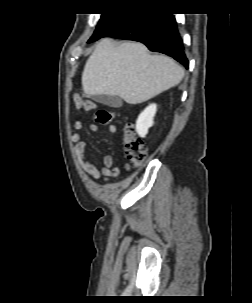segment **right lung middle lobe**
I'll list each match as a JSON object with an SVG mask.
<instances>
[{
	"mask_svg": "<svg viewBox=\"0 0 252 303\" xmlns=\"http://www.w3.org/2000/svg\"><path fill=\"white\" fill-rule=\"evenodd\" d=\"M120 15L121 14H102L97 28L88 43L99 39L109 28L114 25Z\"/></svg>",
	"mask_w": 252,
	"mask_h": 303,
	"instance_id": "right-lung-middle-lobe-1",
	"label": "right lung middle lobe"
}]
</instances>
